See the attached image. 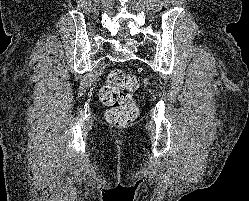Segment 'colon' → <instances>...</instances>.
I'll return each mask as SVG.
<instances>
[{"label": "colon", "instance_id": "colon-1", "mask_svg": "<svg viewBox=\"0 0 249 201\" xmlns=\"http://www.w3.org/2000/svg\"><path fill=\"white\" fill-rule=\"evenodd\" d=\"M138 87V79L121 69L112 70L100 90V99L108 107L106 120L113 127H125L138 115V107L130 92Z\"/></svg>", "mask_w": 249, "mask_h": 201}]
</instances>
